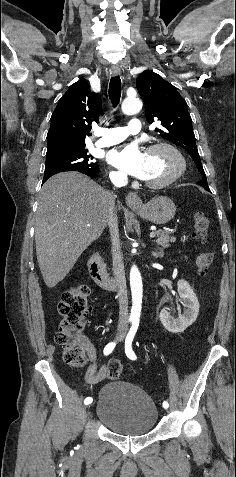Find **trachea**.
Instances as JSON below:
<instances>
[{"mask_svg": "<svg viewBox=\"0 0 236 477\" xmlns=\"http://www.w3.org/2000/svg\"><path fill=\"white\" fill-rule=\"evenodd\" d=\"M121 96V79L119 76L112 77L109 84V98L113 107L119 104Z\"/></svg>", "mask_w": 236, "mask_h": 477, "instance_id": "obj_1", "label": "trachea"}]
</instances>
